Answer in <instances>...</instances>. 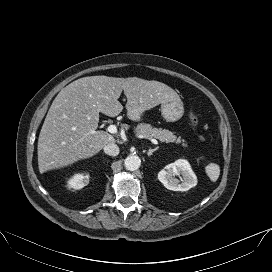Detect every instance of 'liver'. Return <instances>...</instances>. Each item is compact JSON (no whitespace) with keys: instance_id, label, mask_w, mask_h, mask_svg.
Segmentation results:
<instances>
[{"instance_id":"liver-1","label":"liver","mask_w":272,"mask_h":272,"mask_svg":"<svg viewBox=\"0 0 272 272\" xmlns=\"http://www.w3.org/2000/svg\"><path fill=\"white\" fill-rule=\"evenodd\" d=\"M122 91L127 98V117L132 121H140L145 111L159 104L180 100L171 87L155 80L99 75L73 81L54 99L40 131L37 152L41 174L92 157L108 143H115L113 135L96 129L100 112L109 117L122 112L118 101Z\"/></svg>"}]
</instances>
